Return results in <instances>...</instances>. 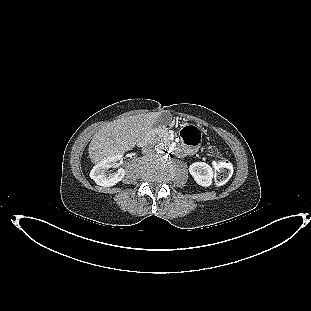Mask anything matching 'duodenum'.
Returning a JSON list of instances; mask_svg holds the SVG:
<instances>
[{
  "mask_svg": "<svg viewBox=\"0 0 311 311\" xmlns=\"http://www.w3.org/2000/svg\"><path fill=\"white\" fill-rule=\"evenodd\" d=\"M159 133L157 130H152L148 135L143 137L140 140V145H144L146 142H148L150 139L158 138ZM184 150L182 148H170V153L174 155H179L183 152Z\"/></svg>",
  "mask_w": 311,
  "mask_h": 311,
  "instance_id": "obj_1",
  "label": "duodenum"
}]
</instances>
